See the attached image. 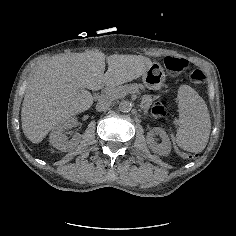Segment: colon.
<instances>
[{"label":"colon","instance_id":"1","mask_svg":"<svg viewBox=\"0 0 236 236\" xmlns=\"http://www.w3.org/2000/svg\"><path fill=\"white\" fill-rule=\"evenodd\" d=\"M163 64L168 71L176 73H182L188 68V62L183 57L167 56ZM189 79L193 84H202L205 82V75L201 69L195 68L190 72ZM151 113L156 117H164L166 115L164 102L159 99L154 100Z\"/></svg>","mask_w":236,"mask_h":236}]
</instances>
